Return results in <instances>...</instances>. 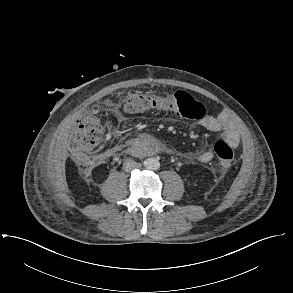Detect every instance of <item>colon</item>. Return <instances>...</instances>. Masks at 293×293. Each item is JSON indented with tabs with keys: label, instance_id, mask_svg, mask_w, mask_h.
Segmentation results:
<instances>
[{
	"label": "colon",
	"instance_id": "1",
	"mask_svg": "<svg viewBox=\"0 0 293 293\" xmlns=\"http://www.w3.org/2000/svg\"><path fill=\"white\" fill-rule=\"evenodd\" d=\"M200 107L201 103L184 91H177L161 99L143 93H132L127 97L122 113L133 115L149 110H162L174 111L183 117L198 119ZM103 131L104 126L96 117L83 121L75 133L74 153L81 158L84 157L87 151L100 143ZM214 151L221 166L227 169L232 167L235 155L230 144L226 141H218L214 145Z\"/></svg>",
	"mask_w": 293,
	"mask_h": 293
}]
</instances>
